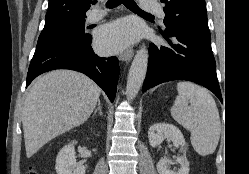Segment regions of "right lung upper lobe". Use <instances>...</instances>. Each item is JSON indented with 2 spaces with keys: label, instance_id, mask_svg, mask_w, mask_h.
<instances>
[{
  "label": "right lung upper lobe",
  "instance_id": "obj_1",
  "mask_svg": "<svg viewBox=\"0 0 249 174\" xmlns=\"http://www.w3.org/2000/svg\"><path fill=\"white\" fill-rule=\"evenodd\" d=\"M91 3L90 0H49L45 26L68 20L85 19Z\"/></svg>",
  "mask_w": 249,
  "mask_h": 174
}]
</instances>
